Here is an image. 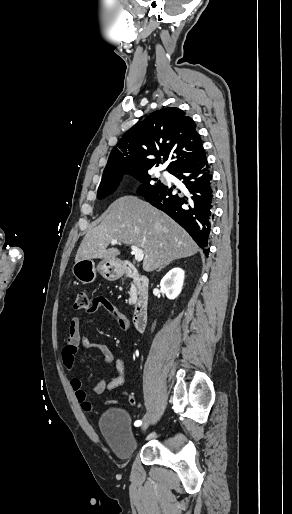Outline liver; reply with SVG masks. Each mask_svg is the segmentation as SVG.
<instances>
[{"label": "liver", "mask_w": 292, "mask_h": 514, "mask_svg": "<svg viewBox=\"0 0 292 514\" xmlns=\"http://www.w3.org/2000/svg\"><path fill=\"white\" fill-rule=\"evenodd\" d=\"M105 214L103 222L87 232L75 262L119 256L117 248L107 250L112 240L142 248L145 272H153L172 260L188 258L198 252L197 244L179 224L136 196L119 198Z\"/></svg>", "instance_id": "liver-1"}]
</instances>
